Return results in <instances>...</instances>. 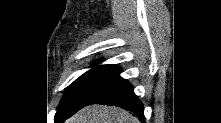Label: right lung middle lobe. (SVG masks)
Masks as SVG:
<instances>
[{
	"mask_svg": "<svg viewBox=\"0 0 221 123\" xmlns=\"http://www.w3.org/2000/svg\"><path fill=\"white\" fill-rule=\"evenodd\" d=\"M120 70L118 65L95 66L69 85L59 105L61 115L72 116L90 100L95 89Z\"/></svg>",
	"mask_w": 221,
	"mask_h": 123,
	"instance_id": "dd1d6c3e",
	"label": "right lung middle lobe"
}]
</instances>
